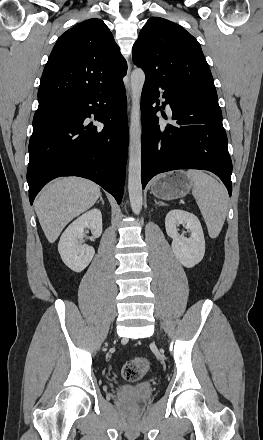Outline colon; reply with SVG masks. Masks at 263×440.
<instances>
[{"label": "colon", "instance_id": "1", "mask_svg": "<svg viewBox=\"0 0 263 440\" xmlns=\"http://www.w3.org/2000/svg\"><path fill=\"white\" fill-rule=\"evenodd\" d=\"M151 360L146 356H137L126 362L122 367V377L128 382H136L140 380L150 369ZM129 406L135 408L138 406L136 402H130Z\"/></svg>", "mask_w": 263, "mask_h": 440}]
</instances>
